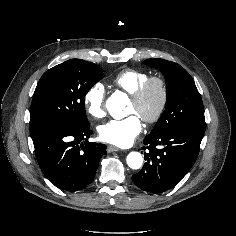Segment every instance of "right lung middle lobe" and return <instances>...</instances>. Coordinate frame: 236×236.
<instances>
[{
    "label": "right lung middle lobe",
    "instance_id": "right-lung-middle-lobe-1",
    "mask_svg": "<svg viewBox=\"0 0 236 236\" xmlns=\"http://www.w3.org/2000/svg\"><path fill=\"white\" fill-rule=\"evenodd\" d=\"M103 77L98 65L81 59H71L49 69L35 89L30 123L87 124L84 97Z\"/></svg>",
    "mask_w": 236,
    "mask_h": 236
}]
</instances>
